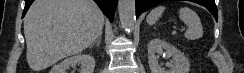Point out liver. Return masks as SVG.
I'll use <instances>...</instances> for the list:
<instances>
[{
    "mask_svg": "<svg viewBox=\"0 0 244 73\" xmlns=\"http://www.w3.org/2000/svg\"><path fill=\"white\" fill-rule=\"evenodd\" d=\"M104 15L92 0H35L24 18L27 62L34 71L88 48Z\"/></svg>",
    "mask_w": 244,
    "mask_h": 73,
    "instance_id": "obj_1",
    "label": "liver"
}]
</instances>
